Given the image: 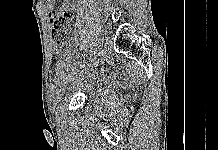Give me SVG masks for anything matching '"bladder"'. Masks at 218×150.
Segmentation results:
<instances>
[{"mask_svg":"<svg viewBox=\"0 0 218 150\" xmlns=\"http://www.w3.org/2000/svg\"><path fill=\"white\" fill-rule=\"evenodd\" d=\"M58 84L63 87H69L74 82H77L76 77L70 71H63L58 76Z\"/></svg>","mask_w":218,"mask_h":150,"instance_id":"bladder-1","label":"bladder"}]
</instances>
